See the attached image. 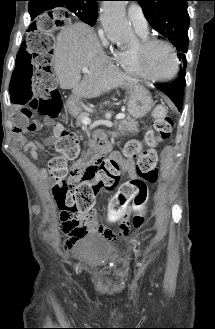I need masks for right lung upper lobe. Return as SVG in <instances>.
Instances as JSON below:
<instances>
[{
  "label": "right lung upper lobe",
  "mask_w": 215,
  "mask_h": 329,
  "mask_svg": "<svg viewBox=\"0 0 215 329\" xmlns=\"http://www.w3.org/2000/svg\"><path fill=\"white\" fill-rule=\"evenodd\" d=\"M36 1L39 3L42 11L50 10L56 7H63L65 2H76L81 3L89 10L88 13L97 19V2L99 0H29Z\"/></svg>",
  "instance_id": "cb5924a9"
}]
</instances>
